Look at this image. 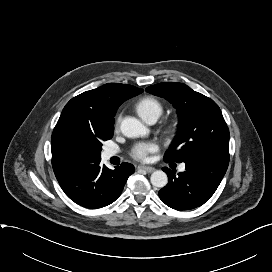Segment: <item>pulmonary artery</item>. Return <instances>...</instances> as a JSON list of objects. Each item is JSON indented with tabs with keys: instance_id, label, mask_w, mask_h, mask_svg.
<instances>
[{
	"instance_id": "obj_1",
	"label": "pulmonary artery",
	"mask_w": 272,
	"mask_h": 272,
	"mask_svg": "<svg viewBox=\"0 0 272 272\" xmlns=\"http://www.w3.org/2000/svg\"><path fill=\"white\" fill-rule=\"evenodd\" d=\"M156 120H157L156 118H152L148 122L149 123H155ZM116 154H117V151L115 149H111V148L106 149L103 152V156H104L105 159H109V158L115 156ZM184 170H185V165L184 164L180 165L179 171H184Z\"/></svg>"
}]
</instances>
